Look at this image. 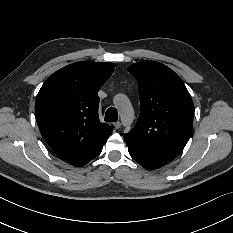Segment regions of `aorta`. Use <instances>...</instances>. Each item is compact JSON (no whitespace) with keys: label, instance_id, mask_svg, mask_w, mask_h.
Here are the masks:
<instances>
[{"label":"aorta","instance_id":"obj_1","mask_svg":"<svg viewBox=\"0 0 233 233\" xmlns=\"http://www.w3.org/2000/svg\"><path fill=\"white\" fill-rule=\"evenodd\" d=\"M125 98H126L125 102L122 101V103L124 105L123 108H122V106H119L116 103H115V105L120 109V115H121L122 121L124 123L129 124L133 120L134 112H133L130 101L128 100L127 97H125Z\"/></svg>","mask_w":233,"mask_h":233}]
</instances>
